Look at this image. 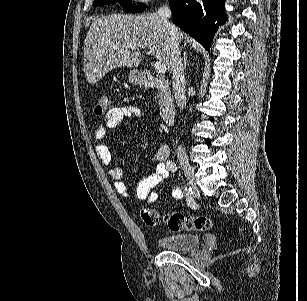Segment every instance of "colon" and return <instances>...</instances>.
<instances>
[{
  "instance_id": "colon-1",
  "label": "colon",
  "mask_w": 307,
  "mask_h": 301,
  "mask_svg": "<svg viewBox=\"0 0 307 301\" xmlns=\"http://www.w3.org/2000/svg\"><path fill=\"white\" fill-rule=\"evenodd\" d=\"M110 99L106 93H101L96 106L95 114L102 116L109 111ZM140 216L144 224L149 227H156L160 222V214L151 207L141 209ZM165 224L171 231H191L208 230L211 227V221L205 216L185 215L179 212L169 213L163 216Z\"/></svg>"
}]
</instances>
